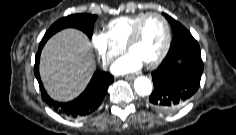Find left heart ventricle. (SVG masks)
I'll list each match as a JSON object with an SVG mask.
<instances>
[{"label": "left heart ventricle", "instance_id": "b2bd125f", "mask_svg": "<svg viewBox=\"0 0 236 135\" xmlns=\"http://www.w3.org/2000/svg\"><path fill=\"white\" fill-rule=\"evenodd\" d=\"M165 42V28L160 18L148 17L142 24L137 42L129 53L138 56L143 63L155 59L161 52Z\"/></svg>", "mask_w": 236, "mask_h": 135}]
</instances>
